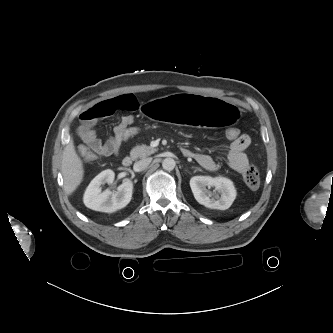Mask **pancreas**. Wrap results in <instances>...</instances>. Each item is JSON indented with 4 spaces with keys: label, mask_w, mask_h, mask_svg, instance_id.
I'll return each instance as SVG.
<instances>
[{
    "label": "pancreas",
    "mask_w": 333,
    "mask_h": 333,
    "mask_svg": "<svg viewBox=\"0 0 333 333\" xmlns=\"http://www.w3.org/2000/svg\"><path fill=\"white\" fill-rule=\"evenodd\" d=\"M157 151V149L152 148L150 146H146V145H139L134 147L131 150V156L133 158H145L153 153H155Z\"/></svg>",
    "instance_id": "obj_1"
}]
</instances>
